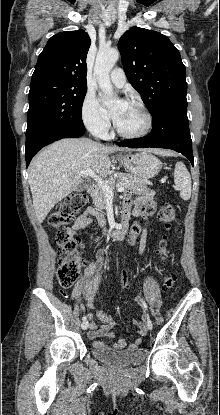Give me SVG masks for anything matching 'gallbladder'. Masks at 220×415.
Instances as JSON below:
<instances>
[{
    "label": "gallbladder",
    "mask_w": 220,
    "mask_h": 415,
    "mask_svg": "<svg viewBox=\"0 0 220 415\" xmlns=\"http://www.w3.org/2000/svg\"><path fill=\"white\" fill-rule=\"evenodd\" d=\"M87 187V184L85 182H82L78 185V187L76 188L77 191H83L85 190Z\"/></svg>",
    "instance_id": "gallbladder-1"
}]
</instances>
